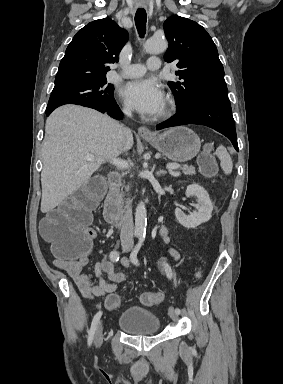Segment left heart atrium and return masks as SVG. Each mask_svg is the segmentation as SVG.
I'll return each mask as SVG.
<instances>
[{"label": "left heart atrium", "mask_w": 283, "mask_h": 384, "mask_svg": "<svg viewBox=\"0 0 283 384\" xmlns=\"http://www.w3.org/2000/svg\"><path fill=\"white\" fill-rule=\"evenodd\" d=\"M121 95L132 108L144 115L157 114L164 105L162 90L151 80L128 82L122 88Z\"/></svg>", "instance_id": "obj_1"}]
</instances>
